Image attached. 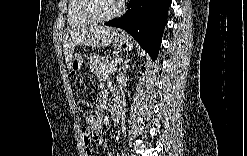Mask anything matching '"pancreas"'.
Listing matches in <instances>:
<instances>
[{"label":"pancreas","mask_w":247,"mask_h":156,"mask_svg":"<svg viewBox=\"0 0 247 156\" xmlns=\"http://www.w3.org/2000/svg\"><path fill=\"white\" fill-rule=\"evenodd\" d=\"M100 81H106L116 71L114 58L107 57L104 59L97 68L91 69Z\"/></svg>","instance_id":"pancreas-1"}]
</instances>
